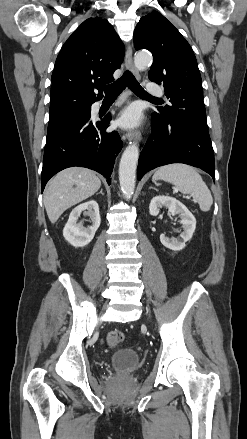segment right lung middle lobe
I'll return each instance as SVG.
<instances>
[{"label": "right lung middle lobe", "mask_w": 247, "mask_h": 439, "mask_svg": "<svg viewBox=\"0 0 247 439\" xmlns=\"http://www.w3.org/2000/svg\"><path fill=\"white\" fill-rule=\"evenodd\" d=\"M91 104H79L62 110L53 111L49 114L48 127L55 125L61 121L70 119L79 113L86 112L90 109Z\"/></svg>", "instance_id": "obj_1"}]
</instances>
